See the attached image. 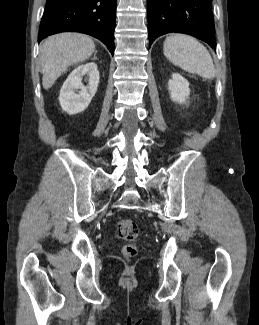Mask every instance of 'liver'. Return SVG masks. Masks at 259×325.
Listing matches in <instances>:
<instances>
[{"instance_id": "liver-1", "label": "liver", "mask_w": 259, "mask_h": 325, "mask_svg": "<svg viewBox=\"0 0 259 325\" xmlns=\"http://www.w3.org/2000/svg\"><path fill=\"white\" fill-rule=\"evenodd\" d=\"M95 51L93 40L79 33H60L41 45L42 85L49 89L68 67L87 60Z\"/></svg>"}]
</instances>
